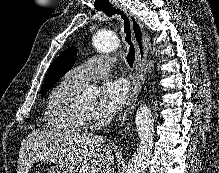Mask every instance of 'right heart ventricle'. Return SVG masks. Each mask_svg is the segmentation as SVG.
<instances>
[{
  "instance_id": "1",
  "label": "right heart ventricle",
  "mask_w": 219,
  "mask_h": 173,
  "mask_svg": "<svg viewBox=\"0 0 219 173\" xmlns=\"http://www.w3.org/2000/svg\"><path fill=\"white\" fill-rule=\"evenodd\" d=\"M81 88L65 76L52 89L44 111L50 129L63 133H79L86 129V124L75 111V101Z\"/></svg>"
}]
</instances>
